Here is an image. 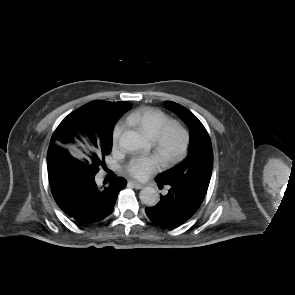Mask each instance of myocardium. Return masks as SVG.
I'll use <instances>...</instances> for the list:
<instances>
[{
	"mask_svg": "<svg viewBox=\"0 0 295 295\" xmlns=\"http://www.w3.org/2000/svg\"><path fill=\"white\" fill-rule=\"evenodd\" d=\"M172 136L177 137L176 145L169 149L168 142ZM190 143V133L187 127L177 121L167 122L153 138V146L161 156L165 166H171L180 162L187 154Z\"/></svg>",
	"mask_w": 295,
	"mask_h": 295,
	"instance_id": "f54148a6",
	"label": "myocardium"
}]
</instances>
